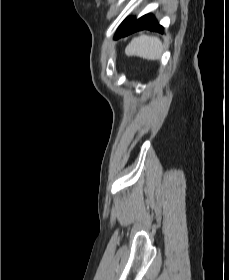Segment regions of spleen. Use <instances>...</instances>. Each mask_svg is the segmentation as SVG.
I'll return each mask as SVG.
<instances>
[{
    "label": "spleen",
    "mask_w": 229,
    "mask_h": 280,
    "mask_svg": "<svg viewBox=\"0 0 229 280\" xmlns=\"http://www.w3.org/2000/svg\"><path fill=\"white\" fill-rule=\"evenodd\" d=\"M163 51V45L157 37L141 35L134 38L126 48V53L136 55L149 60L159 59Z\"/></svg>",
    "instance_id": "obj_1"
}]
</instances>
